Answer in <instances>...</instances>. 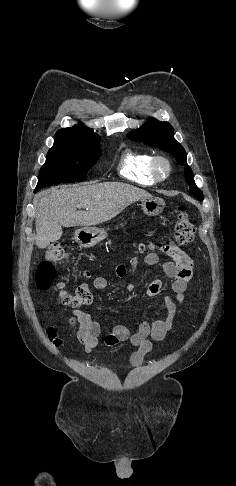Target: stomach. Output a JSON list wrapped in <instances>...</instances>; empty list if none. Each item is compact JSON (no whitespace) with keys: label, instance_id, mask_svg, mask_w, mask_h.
<instances>
[{"label":"stomach","instance_id":"1","mask_svg":"<svg viewBox=\"0 0 236 486\" xmlns=\"http://www.w3.org/2000/svg\"><path fill=\"white\" fill-rule=\"evenodd\" d=\"M141 207L144 213L148 216H156L160 214L165 206V202L156 197L141 200ZM107 237V233L103 228L94 226H84L79 228L74 233L75 241L80 247L90 248L101 242Z\"/></svg>","mask_w":236,"mask_h":486}]
</instances>
